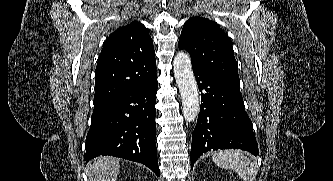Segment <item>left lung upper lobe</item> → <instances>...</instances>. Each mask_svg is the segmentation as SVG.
Instances as JSON below:
<instances>
[{"label":"left lung upper lobe","instance_id":"obj_1","mask_svg":"<svg viewBox=\"0 0 333 181\" xmlns=\"http://www.w3.org/2000/svg\"><path fill=\"white\" fill-rule=\"evenodd\" d=\"M178 46L190 53L193 68L240 89L238 63L228 36L219 25L202 17L185 22Z\"/></svg>","mask_w":333,"mask_h":181}]
</instances>
